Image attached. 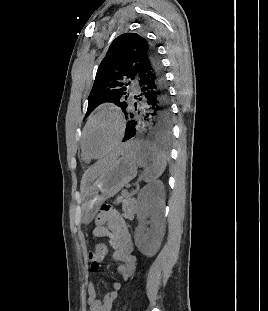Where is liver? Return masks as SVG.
Listing matches in <instances>:
<instances>
[{
	"label": "liver",
	"instance_id": "1",
	"mask_svg": "<svg viewBox=\"0 0 268 311\" xmlns=\"http://www.w3.org/2000/svg\"><path fill=\"white\" fill-rule=\"evenodd\" d=\"M126 146H123L116 154H113L103 160L98 161L94 166L89 168L82 179V183L85 184L89 181H94L106 168H108L113 161L117 158L119 152H124Z\"/></svg>",
	"mask_w": 268,
	"mask_h": 311
}]
</instances>
